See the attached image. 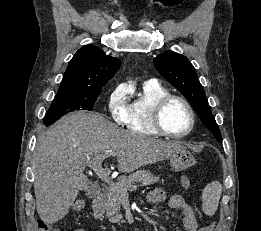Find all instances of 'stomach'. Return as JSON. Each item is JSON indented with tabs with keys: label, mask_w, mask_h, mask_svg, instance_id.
<instances>
[{
	"label": "stomach",
	"mask_w": 261,
	"mask_h": 231,
	"mask_svg": "<svg viewBox=\"0 0 261 231\" xmlns=\"http://www.w3.org/2000/svg\"><path fill=\"white\" fill-rule=\"evenodd\" d=\"M195 164L196 159L194 158L192 152L186 148L171 154L170 165L175 172L185 170Z\"/></svg>",
	"instance_id": "0dacf381"
}]
</instances>
